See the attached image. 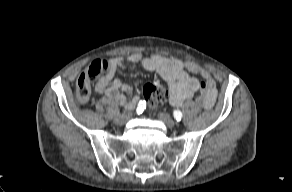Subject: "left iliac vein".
Returning <instances> with one entry per match:
<instances>
[{"instance_id": "4c4485c4", "label": "left iliac vein", "mask_w": 292, "mask_h": 192, "mask_svg": "<svg viewBox=\"0 0 292 192\" xmlns=\"http://www.w3.org/2000/svg\"><path fill=\"white\" fill-rule=\"evenodd\" d=\"M158 117L169 128H173L176 125V123L174 122V120L171 119L168 115H166L164 113H159L158 114Z\"/></svg>"}]
</instances>
